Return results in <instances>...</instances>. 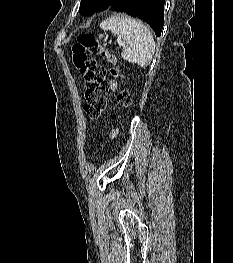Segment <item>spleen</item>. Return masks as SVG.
<instances>
[{
    "instance_id": "1",
    "label": "spleen",
    "mask_w": 233,
    "mask_h": 263,
    "mask_svg": "<svg viewBox=\"0 0 233 263\" xmlns=\"http://www.w3.org/2000/svg\"><path fill=\"white\" fill-rule=\"evenodd\" d=\"M100 28L111 31L119 40H122L124 50L121 56L125 61L142 68L151 63L155 52V42L152 33L142 22L119 13L102 21Z\"/></svg>"
}]
</instances>
